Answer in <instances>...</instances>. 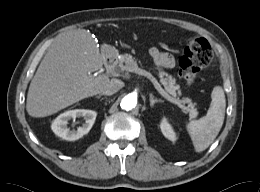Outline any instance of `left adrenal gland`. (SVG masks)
<instances>
[{
	"label": "left adrenal gland",
	"instance_id": "left-adrenal-gland-1",
	"mask_svg": "<svg viewBox=\"0 0 260 192\" xmlns=\"http://www.w3.org/2000/svg\"><path fill=\"white\" fill-rule=\"evenodd\" d=\"M149 98H150L151 107H153L155 103L162 102V100L154 98V96L152 94H149Z\"/></svg>",
	"mask_w": 260,
	"mask_h": 192
}]
</instances>
